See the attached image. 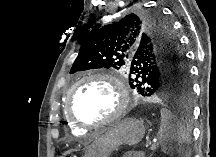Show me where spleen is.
I'll use <instances>...</instances> for the list:
<instances>
[{
    "instance_id": "spleen-1",
    "label": "spleen",
    "mask_w": 216,
    "mask_h": 157,
    "mask_svg": "<svg viewBox=\"0 0 216 157\" xmlns=\"http://www.w3.org/2000/svg\"><path fill=\"white\" fill-rule=\"evenodd\" d=\"M161 123L157 134L161 149L168 155L189 157L190 132L171 111L161 109Z\"/></svg>"
}]
</instances>
